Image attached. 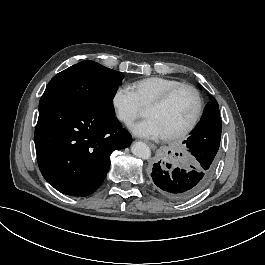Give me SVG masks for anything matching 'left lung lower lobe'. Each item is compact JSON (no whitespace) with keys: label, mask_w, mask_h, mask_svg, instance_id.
Here are the masks:
<instances>
[{"label":"left lung lower lobe","mask_w":265,"mask_h":265,"mask_svg":"<svg viewBox=\"0 0 265 265\" xmlns=\"http://www.w3.org/2000/svg\"><path fill=\"white\" fill-rule=\"evenodd\" d=\"M195 146L201 147L190 149L196 160L188 168H172L168 163L162 166L160 162L154 165L151 183L168 199L187 201L202 192L212 179L218 149H209L201 144H195Z\"/></svg>","instance_id":"obj_1"}]
</instances>
